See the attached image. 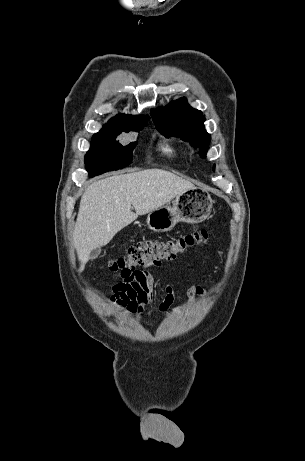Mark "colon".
<instances>
[{"instance_id": "colon-1", "label": "colon", "mask_w": 305, "mask_h": 461, "mask_svg": "<svg viewBox=\"0 0 305 461\" xmlns=\"http://www.w3.org/2000/svg\"><path fill=\"white\" fill-rule=\"evenodd\" d=\"M208 239L206 230H196L174 239L145 240L132 245L125 256L115 258L108 268L122 279H127L140 267L157 265L165 260H173Z\"/></svg>"}]
</instances>
